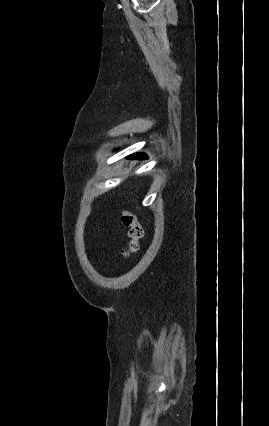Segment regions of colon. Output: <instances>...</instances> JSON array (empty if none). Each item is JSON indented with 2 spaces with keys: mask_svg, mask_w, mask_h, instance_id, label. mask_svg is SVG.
<instances>
[{
  "mask_svg": "<svg viewBox=\"0 0 269 426\" xmlns=\"http://www.w3.org/2000/svg\"><path fill=\"white\" fill-rule=\"evenodd\" d=\"M121 222L128 229V248L123 252V259L127 260L139 250V242L144 236V230L137 216L130 210L124 209L121 212Z\"/></svg>",
  "mask_w": 269,
  "mask_h": 426,
  "instance_id": "colon-1",
  "label": "colon"
}]
</instances>
